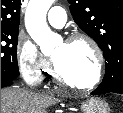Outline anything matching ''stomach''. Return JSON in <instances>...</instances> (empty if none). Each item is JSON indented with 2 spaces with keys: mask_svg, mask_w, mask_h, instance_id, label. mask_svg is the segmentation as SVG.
Returning a JSON list of instances; mask_svg holds the SVG:
<instances>
[{
  "mask_svg": "<svg viewBox=\"0 0 123 113\" xmlns=\"http://www.w3.org/2000/svg\"><path fill=\"white\" fill-rule=\"evenodd\" d=\"M82 113H109L108 103L99 98H90L82 102Z\"/></svg>",
  "mask_w": 123,
  "mask_h": 113,
  "instance_id": "stomach-1",
  "label": "stomach"
}]
</instances>
